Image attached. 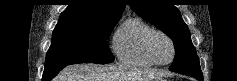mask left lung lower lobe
<instances>
[{
    "instance_id": "left-lung-lower-lobe-1",
    "label": "left lung lower lobe",
    "mask_w": 237,
    "mask_h": 81,
    "mask_svg": "<svg viewBox=\"0 0 237 81\" xmlns=\"http://www.w3.org/2000/svg\"><path fill=\"white\" fill-rule=\"evenodd\" d=\"M188 76H192L196 78L198 81H203V76H200V75H188Z\"/></svg>"
}]
</instances>
